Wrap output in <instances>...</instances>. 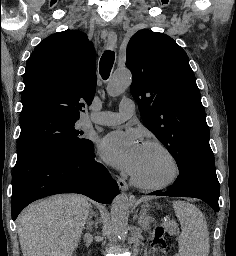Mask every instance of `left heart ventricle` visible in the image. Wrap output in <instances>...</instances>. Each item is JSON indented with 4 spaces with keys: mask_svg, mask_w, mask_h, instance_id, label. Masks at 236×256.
Segmentation results:
<instances>
[{
    "mask_svg": "<svg viewBox=\"0 0 236 256\" xmlns=\"http://www.w3.org/2000/svg\"><path fill=\"white\" fill-rule=\"evenodd\" d=\"M172 172V163L162 150L143 146L138 163L131 174L141 182L152 185L165 181Z\"/></svg>",
    "mask_w": 236,
    "mask_h": 256,
    "instance_id": "left-heart-ventricle-1",
    "label": "left heart ventricle"
}]
</instances>
